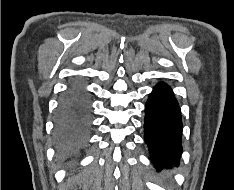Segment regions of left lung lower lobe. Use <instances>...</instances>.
<instances>
[{"mask_svg":"<svg viewBox=\"0 0 234 190\" xmlns=\"http://www.w3.org/2000/svg\"><path fill=\"white\" fill-rule=\"evenodd\" d=\"M144 139L155 168L175 164L182 154V119L171 88L158 83L146 102Z\"/></svg>","mask_w":234,"mask_h":190,"instance_id":"left-lung-lower-lobe-1","label":"left lung lower lobe"}]
</instances>
